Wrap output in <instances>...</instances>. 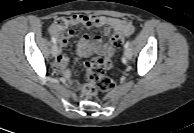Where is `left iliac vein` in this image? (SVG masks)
Wrapping results in <instances>:
<instances>
[{
    "mask_svg": "<svg viewBox=\"0 0 194 133\" xmlns=\"http://www.w3.org/2000/svg\"><path fill=\"white\" fill-rule=\"evenodd\" d=\"M124 56H125L126 59H130L132 57V53H131L130 48L125 49Z\"/></svg>",
    "mask_w": 194,
    "mask_h": 133,
    "instance_id": "4c4485c4",
    "label": "left iliac vein"
}]
</instances>
